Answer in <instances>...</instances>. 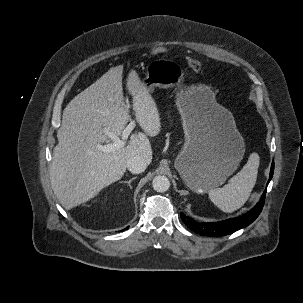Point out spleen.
Wrapping results in <instances>:
<instances>
[{
  "instance_id": "3e777b00",
  "label": "spleen",
  "mask_w": 303,
  "mask_h": 303,
  "mask_svg": "<svg viewBox=\"0 0 303 303\" xmlns=\"http://www.w3.org/2000/svg\"><path fill=\"white\" fill-rule=\"evenodd\" d=\"M260 158L254 152L240 172L233 176L222 188L209 191L210 200L223 212L231 213L241 208L248 200L255 186Z\"/></svg>"
}]
</instances>
